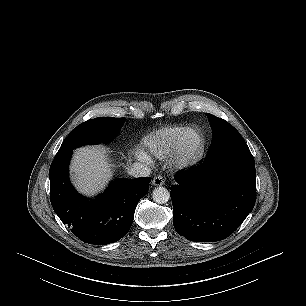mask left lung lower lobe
I'll return each mask as SVG.
<instances>
[{"label": "left lung lower lobe", "instance_id": "0a47b994", "mask_svg": "<svg viewBox=\"0 0 306 306\" xmlns=\"http://www.w3.org/2000/svg\"><path fill=\"white\" fill-rule=\"evenodd\" d=\"M175 181L173 225L191 241L227 238L255 205V164L248 147L211 154L202 165L177 173Z\"/></svg>", "mask_w": 306, "mask_h": 306}]
</instances>
